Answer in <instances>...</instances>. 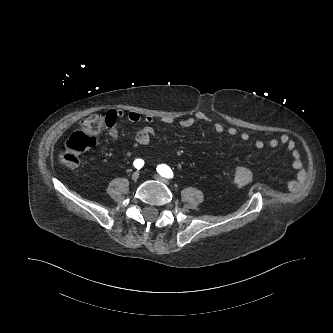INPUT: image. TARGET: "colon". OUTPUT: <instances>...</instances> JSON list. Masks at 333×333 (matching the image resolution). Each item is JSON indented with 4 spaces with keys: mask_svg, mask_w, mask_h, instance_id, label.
Returning <instances> with one entry per match:
<instances>
[{
    "mask_svg": "<svg viewBox=\"0 0 333 333\" xmlns=\"http://www.w3.org/2000/svg\"><path fill=\"white\" fill-rule=\"evenodd\" d=\"M117 120L114 111L106 114H92L85 118L77 131L73 132L64 143L61 154L62 163L76 169L80 164L81 156L93 148L99 136L109 128H112ZM253 179V172L247 167H238L234 172V180L239 186L249 184Z\"/></svg>",
    "mask_w": 333,
    "mask_h": 333,
    "instance_id": "obj_1",
    "label": "colon"
}]
</instances>
